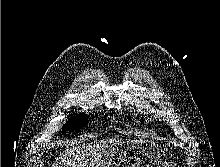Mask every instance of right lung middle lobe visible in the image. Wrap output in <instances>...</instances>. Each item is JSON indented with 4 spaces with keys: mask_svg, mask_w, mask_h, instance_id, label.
Wrapping results in <instances>:
<instances>
[{
    "mask_svg": "<svg viewBox=\"0 0 220 167\" xmlns=\"http://www.w3.org/2000/svg\"><path fill=\"white\" fill-rule=\"evenodd\" d=\"M87 122L88 119L86 115H77L71 118V120L64 125L63 129L67 131L78 130L83 128Z\"/></svg>",
    "mask_w": 220,
    "mask_h": 167,
    "instance_id": "1",
    "label": "right lung middle lobe"
}]
</instances>
